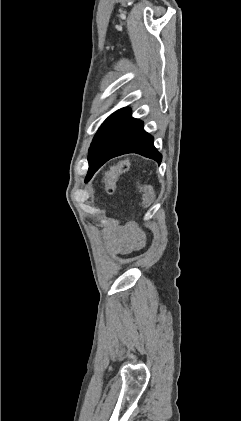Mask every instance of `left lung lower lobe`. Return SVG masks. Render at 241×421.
I'll return each mask as SVG.
<instances>
[{"label": "left lung lower lobe", "mask_w": 241, "mask_h": 421, "mask_svg": "<svg viewBox=\"0 0 241 421\" xmlns=\"http://www.w3.org/2000/svg\"><path fill=\"white\" fill-rule=\"evenodd\" d=\"M127 153H137L161 163L162 155L153 145V137L143 129V122L131 117V110L124 109L96 162L89 165L86 182L108 160Z\"/></svg>", "instance_id": "left-lung-lower-lobe-1"}]
</instances>
